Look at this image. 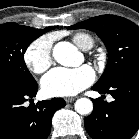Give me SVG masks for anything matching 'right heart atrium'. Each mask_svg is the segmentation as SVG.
<instances>
[{
	"instance_id": "right-heart-atrium-1",
	"label": "right heart atrium",
	"mask_w": 139,
	"mask_h": 139,
	"mask_svg": "<svg viewBox=\"0 0 139 139\" xmlns=\"http://www.w3.org/2000/svg\"><path fill=\"white\" fill-rule=\"evenodd\" d=\"M23 59L31 72H45L53 62L52 39L49 36H41L33 40L25 49Z\"/></svg>"
}]
</instances>
